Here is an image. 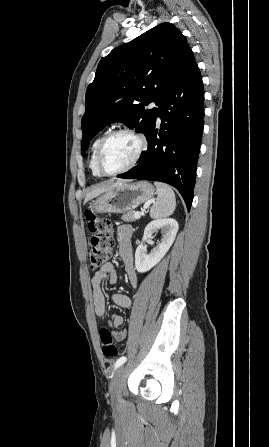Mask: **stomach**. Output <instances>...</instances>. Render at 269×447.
Instances as JSON below:
<instances>
[{
	"label": "stomach",
	"mask_w": 269,
	"mask_h": 447,
	"mask_svg": "<svg viewBox=\"0 0 269 447\" xmlns=\"http://www.w3.org/2000/svg\"><path fill=\"white\" fill-rule=\"evenodd\" d=\"M154 196V188L149 182H136V184H119L106 192L91 204L95 214H122L134 210L139 204L148 202Z\"/></svg>",
	"instance_id": "stomach-1"
}]
</instances>
